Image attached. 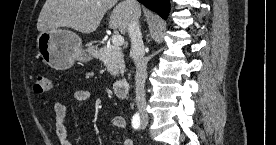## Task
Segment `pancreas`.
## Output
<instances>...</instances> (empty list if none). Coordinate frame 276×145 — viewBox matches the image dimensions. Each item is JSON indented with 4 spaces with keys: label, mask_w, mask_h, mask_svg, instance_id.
<instances>
[{
    "label": "pancreas",
    "mask_w": 276,
    "mask_h": 145,
    "mask_svg": "<svg viewBox=\"0 0 276 145\" xmlns=\"http://www.w3.org/2000/svg\"><path fill=\"white\" fill-rule=\"evenodd\" d=\"M99 60L103 62L113 77H118L125 69L121 48L110 45L100 49Z\"/></svg>",
    "instance_id": "obj_1"
}]
</instances>
